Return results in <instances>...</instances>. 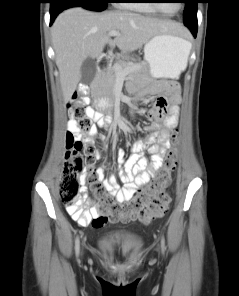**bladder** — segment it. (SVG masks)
<instances>
[{"instance_id":"obj_1","label":"bladder","mask_w":239,"mask_h":296,"mask_svg":"<svg viewBox=\"0 0 239 296\" xmlns=\"http://www.w3.org/2000/svg\"><path fill=\"white\" fill-rule=\"evenodd\" d=\"M142 241L140 234L129 229L107 230L97 237V248L109 255H128L136 251Z\"/></svg>"}]
</instances>
